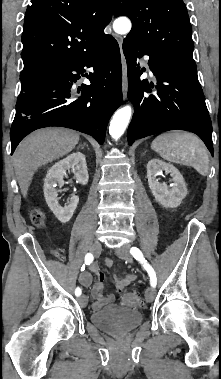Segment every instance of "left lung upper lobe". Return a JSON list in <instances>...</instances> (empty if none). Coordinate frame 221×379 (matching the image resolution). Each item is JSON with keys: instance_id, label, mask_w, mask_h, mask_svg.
<instances>
[{"instance_id": "5c2ea615", "label": "left lung upper lobe", "mask_w": 221, "mask_h": 379, "mask_svg": "<svg viewBox=\"0 0 221 379\" xmlns=\"http://www.w3.org/2000/svg\"><path fill=\"white\" fill-rule=\"evenodd\" d=\"M112 5L116 17L132 21L127 36L166 61L196 69L192 27L182 0H112Z\"/></svg>"}]
</instances>
